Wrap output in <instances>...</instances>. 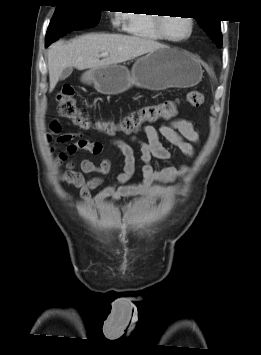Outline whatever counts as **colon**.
<instances>
[{
    "mask_svg": "<svg viewBox=\"0 0 261 355\" xmlns=\"http://www.w3.org/2000/svg\"><path fill=\"white\" fill-rule=\"evenodd\" d=\"M59 103V114L67 119L71 125L82 130H94L107 135L117 133L133 134L140 131L143 127L159 120H171L178 112V102L175 100H166L154 105H147L137 109L119 122L114 121H92L81 109L74 98V89L69 85L63 88L57 94ZM185 101L192 107H200L205 102L204 95L198 90L189 91L185 95ZM54 124L52 128H56Z\"/></svg>",
    "mask_w": 261,
    "mask_h": 355,
    "instance_id": "5ec220e1",
    "label": "colon"
}]
</instances>
